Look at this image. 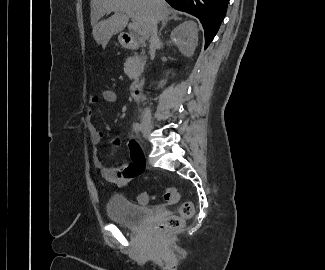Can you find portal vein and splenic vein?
Wrapping results in <instances>:
<instances>
[{
  "instance_id": "1",
  "label": "portal vein and splenic vein",
  "mask_w": 325,
  "mask_h": 270,
  "mask_svg": "<svg viewBox=\"0 0 325 270\" xmlns=\"http://www.w3.org/2000/svg\"><path fill=\"white\" fill-rule=\"evenodd\" d=\"M116 10V9H112L111 11ZM131 29L136 32V33H140V26L138 25V23L136 21H132L131 23Z\"/></svg>"
}]
</instances>
